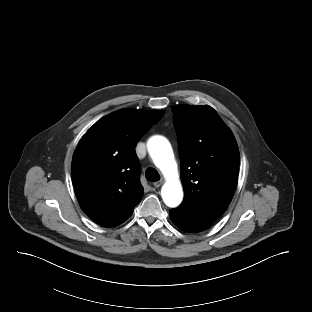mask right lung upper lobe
<instances>
[{
	"mask_svg": "<svg viewBox=\"0 0 312 312\" xmlns=\"http://www.w3.org/2000/svg\"><path fill=\"white\" fill-rule=\"evenodd\" d=\"M164 111L121 109L97 121L72 159V181L81 209L103 227L123 223L141 201L140 164L134 148Z\"/></svg>",
	"mask_w": 312,
	"mask_h": 312,
	"instance_id": "right-lung-upper-lobe-1",
	"label": "right lung upper lobe"
}]
</instances>
